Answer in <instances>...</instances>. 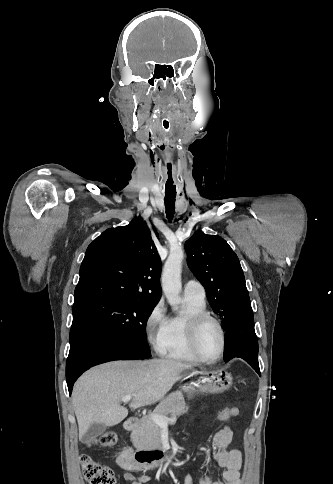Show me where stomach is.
<instances>
[{"label":"stomach","instance_id":"obj_1","mask_svg":"<svg viewBox=\"0 0 333 484\" xmlns=\"http://www.w3.org/2000/svg\"><path fill=\"white\" fill-rule=\"evenodd\" d=\"M195 379L186 383L182 391L188 396L192 397L199 392L219 394L228 390L232 385V375L225 369H220L211 372L193 371Z\"/></svg>","mask_w":333,"mask_h":484}]
</instances>
